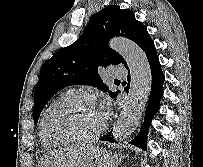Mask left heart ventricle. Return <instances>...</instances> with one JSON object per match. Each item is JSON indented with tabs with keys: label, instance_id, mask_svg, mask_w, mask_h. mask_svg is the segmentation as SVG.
Instances as JSON below:
<instances>
[{
	"label": "left heart ventricle",
	"instance_id": "b2bd125f",
	"mask_svg": "<svg viewBox=\"0 0 203 167\" xmlns=\"http://www.w3.org/2000/svg\"><path fill=\"white\" fill-rule=\"evenodd\" d=\"M103 124V117L95 106L86 99H78L50 122L56 134L67 138L87 137Z\"/></svg>",
	"mask_w": 203,
	"mask_h": 167
}]
</instances>
